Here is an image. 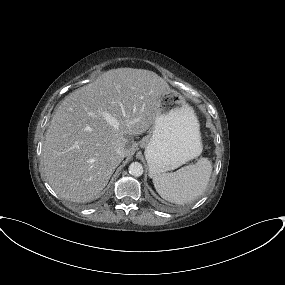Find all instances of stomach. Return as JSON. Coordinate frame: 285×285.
Returning <instances> with one entry per match:
<instances>
[{
  "instance_id": "stomach-1",
  "label": "stomach",
  "mask_w": 285,
  "mask_h": 285,
  "mask_svg": "<svg viewBox=\"0 0 285 285\" xmlns=\"http://www.w3.org/2000/svg\"><path fill=\"white\" fill-rule=\"evenodd\" d=\"M158 105L160 114L141 142L151 177L177 169L202 152L199 123L185 98L165 88Z\"/></svg>"
}]
</instances>
